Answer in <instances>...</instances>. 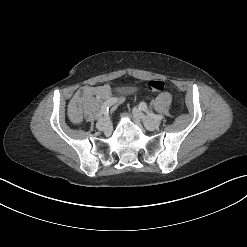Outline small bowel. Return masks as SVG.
Segmentation results:
<instances>
[{
  "label": "small bowel",
  "mask_w": 247,
  "mask_h": 247,
  "mask_svg": "<svg viewBox=\"0 0 247 247\" xmlns=\"http://www.w3.org/2000/svg\"><path fill=\"white\" fill-rule=\"evenodd\" d=\"M111 92L109 85H100V86H84L76 91L73 95L70 104H69V116L70 119L79 124L83 120L82 116V103L90 96H96L98 98L104 99Z\"/></svg>",
  "instance_id": "1"
}]
</instances>
